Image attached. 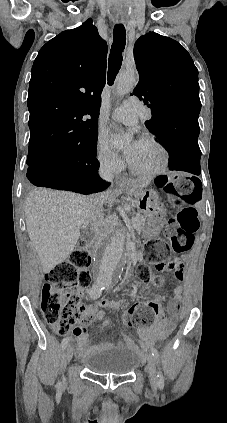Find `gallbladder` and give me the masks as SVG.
Instances as JSON below:
<instances>
[{
	"mask_svg": "<svg viewBox=\"0 0 227 423\" xmlns=\"http://www.w3.org/2000/svg\"><path fill=\"white\" fill-rule=\"evenodd\" d=\"M93 235H94L93 229H90V227H84V229H82L81 231L80 239L81 241H85V243H87L89 239H92Z\"/></svg>",
	"mask_w": 227,
	"mask_h": 423,
	"instance_id": "gallbladder-1",
	"label": "gallbladder"
}]
</instances>
